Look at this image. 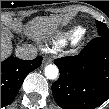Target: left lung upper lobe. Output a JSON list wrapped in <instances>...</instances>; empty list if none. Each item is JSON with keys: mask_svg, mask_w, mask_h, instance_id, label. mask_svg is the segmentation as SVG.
<instances>
[{"mask_svg": "<svg viewBox=\"0 0 109 109\" xmlns=\"http://www.w3.org/2000/svg\"><path fill=\"white\" fill-rule=\"evenodd\" d=\"M97 22V28H98V34L99 36H102V37H109V29L108 27L100 22V21H96Z\"/></svg>", "mask_w": 109, "mask_h": 109, "instance_id": "5c2ea615", "label": "left lung upper lobe"}]
</instances>
